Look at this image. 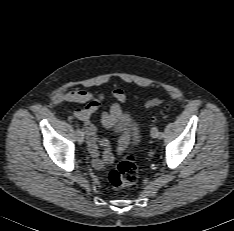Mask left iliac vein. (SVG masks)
<instances>
[{
    "label": "left iliac vein",
    "mask_w": 234,
    "mask_h": 231,
    "mask_svg": "<svg viewBox=\"0 0 234 231\" xmlns=\"http://www.w3.org/2000/svg\"><path fill=\"white\" fill-rule=\"evenodd\" d=\"M151 137L152 138H158V130L156 127H153L151 130Z\"/></svg>",
    "instance_id": "1"
}]
</instances>
